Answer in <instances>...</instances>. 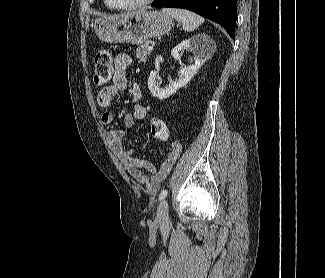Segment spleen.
<instances>
[{"instance_id": "obj_1", "label": "spleen", "mask_w": 325, "mask_h": 278, "mask_svg": "<svg viewBox=\"0 0 325 278\" xmlns=\"http://www.w3.org/2000/svg\"><path fill=\"white\" fill-rule=\"evenodd\" d=\"M162 12L181 22L183 29L187 32L195 30L205 21L201 16L185 9L163 8Z\"/></svg>"}]
</instances>
